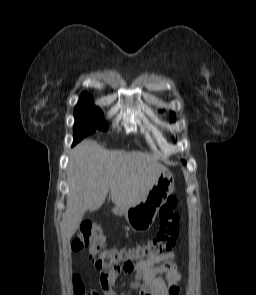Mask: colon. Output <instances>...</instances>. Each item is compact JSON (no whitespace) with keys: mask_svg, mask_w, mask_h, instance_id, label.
Masks as SVG:
<instances>
[{"mask_svg":"<svg viewBox=\"0 0 256 295\" xmlns=\"http://www.w3.org/2000/svg\"><path fill=\"white\" fill-rule=\"evenodd\" d=\"M177 198L168 197L159 211V230L155 237L137 243L127 249H105V237L100 226L83 222L74 237L71 248L74 252L89 250V257L99 270H112L120 267L131 269L135 264L157 259L169 253L178 236L179 216L176 212ZM74 295H93L86 293L79 275L73 276Z\"/></svg>","mask_w":256,"mask_h":295,"instance_id":"1","label":"colon"}]
</instances>
